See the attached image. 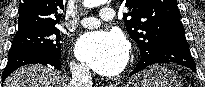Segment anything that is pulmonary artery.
Listing matches in <instances>:
<instances>
[{"instance_id":"1","label":"pulmonary artery","mask_w":205,"mask_h":87,"mask_svg":"<svg viewBox=\"0 0 205 87\" xmlns=\"http://www.w3.org/2000/svg\"><path fill=\"white\" fill-rule=\"evenodd\" d=\"M115 11L110 7H103L100 10L99 17L88 16L80 20L81 26L85 28H96L100 25L101 21L112 22L115 20Z\"/></svg>"}]
</instances>
